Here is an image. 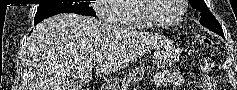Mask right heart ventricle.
<instances>
[{"label":"right heart ventricle","mask_w":237,"mask_h":90,"mask_svg":"<svg viewBox=\"0 0 237 90\" xmlns=\"http://www.w3.org/2000/svg\"><path fill=\"white\" fill-rule=\"evenodd\" d=\"M137 0H125L121 4H111L110 13L113 16H118L120 21L114 23L112 28H146L144 23L139 19H128V15H136L134 7L137 4Z\"/></svg>","instance_id":"obj_1"}]
</instances>
